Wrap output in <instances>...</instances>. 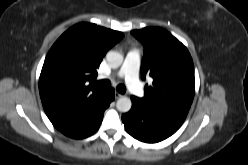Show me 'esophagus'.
<instances>
[{"mask_svg": "<svg viewBox=\"0 0 248 165\" xmlns=\"http://www.w3.org/2000/svg\"><path fill=\"white\" fill-rule=\"evenodd\" d=\"M122 96H123V94H121L119 92H115V99H119Z\"/></svg>", "mask_w": 248, "mask_h": 165, "instance_id": "esophagus-1", "label": "esophagus"}]
</instances>
